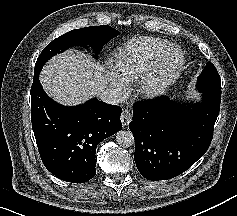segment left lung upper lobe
<instances>
[{
  "instance_id": "1",
  "label": "left lung upper lobe",
  "mask_w": 237,
  "mask_h": 216,
  "mask_svg": "<svg viewBox=\"0 0 237 216\" xmlns=\"http://www.w3.org/2000/svg\"><path fill=\"white\" fill-rule=\"evenodd\" d=\"M197 87L204 94L221 96V80L216 68L211 62H207L199 75Z\"/></svg>"
}]
</instances>
